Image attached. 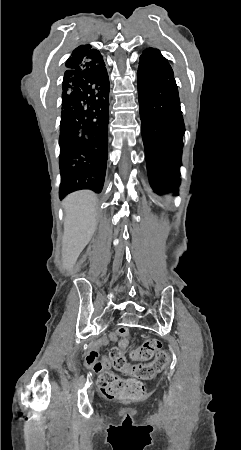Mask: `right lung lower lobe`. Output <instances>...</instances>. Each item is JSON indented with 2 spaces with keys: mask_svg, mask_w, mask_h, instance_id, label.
<instances>
[{
  "mask_svg": "<svg viewBox=\"0 0 241 450\" xmlns=\"http://www.w3.org/2000/svg\"><path fill=\"white\" fill-rule=\"evenodd\" d=\"M60 122V198L100 193L108 157L109 78L105 63L66 70Z\"/></svg>",
  "mask_w": 241,
  "mask_h": 450,
  "instance_id": "98d812e1",
  "label": "right lung lower lobe"
}]
</instances>
